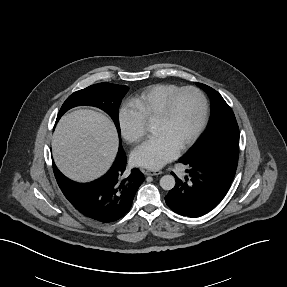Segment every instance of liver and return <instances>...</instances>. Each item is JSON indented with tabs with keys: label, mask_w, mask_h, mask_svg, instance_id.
Returning <instances> with one entry per match:
<instances>
[{
	"label": "liver",
	"mask_w": 287,
	"mask_h": 287,
	"mask_svg": "<svg viewBox=\"0 0 287 287\" xmlns=\"http://www.w3.org/2000/svg\"><path fill=\"white\" fill-rule=\"evenodd\" d=\"M117 150L118 136L113 123L91 109H78L63 116L52 139L55 164L77 182H88L104 174Z\"/></svg>",
	"instance_id": "liver-1"
}]
</instances>
